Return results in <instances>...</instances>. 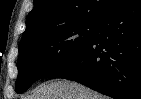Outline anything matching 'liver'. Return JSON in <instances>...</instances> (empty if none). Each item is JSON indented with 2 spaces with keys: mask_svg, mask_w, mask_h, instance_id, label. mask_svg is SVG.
I'll list each match as a JSON object with an SVG mask.
<instances>
[{
  "mask_svg": "<svg viewBox=\"0 0 141 99\" xmlns=\"http://www.w3.org/2000/svg\"><path fill=\"white\" fill-rule=\"evenodd\" d=\"M27 99H109L74 81L52 80L38 86Z\"/></svg>",
  "mask_w": 141,
  "mask_h": 99,
  "instance_id": "6515ba94",
  "label": "liver"
}]
</instances>
